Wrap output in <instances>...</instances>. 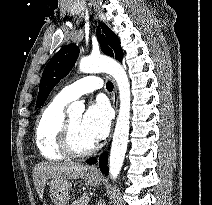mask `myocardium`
I'll return each mask as SVG.
<instances>
[{
  "mask_svg": "<svg viewBox=\"0 0 212 205\" xmlns=\"http://www.w3.org/2000/svg\"><path fill=\"white\" fill-rule=\"evenodd\" d=\"M59 147L61 151L70 157H84L92 154L95 149V143L84 149H78L74 146L71 136V125L69 117H65L60 133H59Z\"/></svg>",
  "mask_w": 212,
  "mask_h": 205,
  "instance_id": "f54148a6",
  "label": "myocardium"
}]
</instances>
